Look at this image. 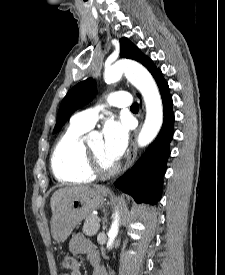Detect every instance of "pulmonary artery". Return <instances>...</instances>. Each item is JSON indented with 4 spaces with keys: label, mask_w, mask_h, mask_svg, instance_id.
<instances>
[{
    "label": "pulmonary artery",
    "mask_w": 225,
    "mask_h": 275,
    "mask_svg": "<svg viewBox=\"0 0 225 275\" xmlns=\"http://www.w3.org/2000/svg\"><path fill=\"white\" fill-rule=\"evenodd\" d=\"M108 105L123 108L132 104L131 95L128 92H111L107 97ZM102 108L96 107L94 109L82 111L76 113L72 117V123L83 126L86 128H92L98 119V113Z\"/></svg>",
    "instance_id": "obj_1"
}]
</instances>
